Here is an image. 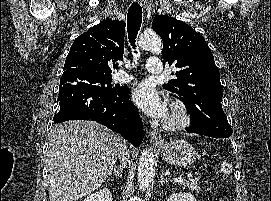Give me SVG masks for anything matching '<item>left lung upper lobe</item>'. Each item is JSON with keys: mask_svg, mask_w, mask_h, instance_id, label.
Returning <instances> with one entry per match:
<instances>
[{"mask_svg": "<svg viewBox=\"0 0 271 201\" xmlns=\"http://www.w3.org/2000/svg\"><path fill=\"white\" fill-rule=\"evenodd\" d=\"M152 28L163 40V57L178 68L172 73L176 79L164 88L185 98L191 115L189 127L214 138L231 136L221 104L220 73L205 39L185 22L167 15H157Z\"/></svg>", "mask_w": 271, "mask_h": 201, "instance_id": "obj_1", "label": "left lung upper lobe"}]
</instances>
